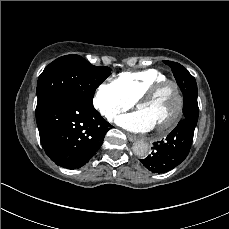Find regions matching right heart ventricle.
Instances as JSON below:
<instances>
[{
  "mask_svg": "<svg viewBox=\"0 0 229 229\" xmlns=\"http://www.w3.org/2000/svg\"><path fill=\"white\" fill-rule=\"evenodd\" d=\"M168 76L161 70L150 68L138 71L122 72L117 77V83L125 94L134 102L138 101L151 87Z\"/></svg>",
  "mask_w": 229,
  "mask_h": 229,
  "instance_id": "right-heart-ventricle-1",
  "label": "right heart ventricle"
}]
</instances>
